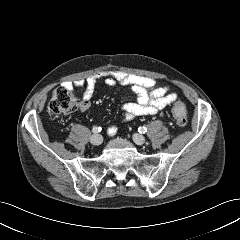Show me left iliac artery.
<instances>
[{
    "mask_svg": "<svg viewBox=\"0 0 240 240\" xmlns=\"http://www.w3.org/2000/svg\"><path fill=\"white\" fill-rule=\"evenodd\" d=\"M138 131H139V133H143V134H144V133L147 132V128L144 127V126H143V127H139V128H138Z\"/></svg>",
    "mask_w": 240,
    "mask_h": 240,
    "instance_id": "44dca946",
    "label": "left iliac artery"
}]
</instances>
